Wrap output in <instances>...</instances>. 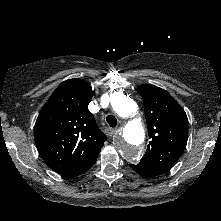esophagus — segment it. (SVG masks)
<instances>
[{
    "mask_svg": "<svg viewBox=\"0 0 221 221\" xmlns=\"http://www.w3.org/2000/svg\"><path fill=\"white\" fill-rule=\"evenodd\" d=\"M120 130H121L120 128H108L107 134L108 136L112 137L114 134H116Z\"/></svg>",
    "mask_w": 221,
    "mask_h": 221,
    "instance_id": "obj_1",
    "label": "esophagus"
}]
</instances>
